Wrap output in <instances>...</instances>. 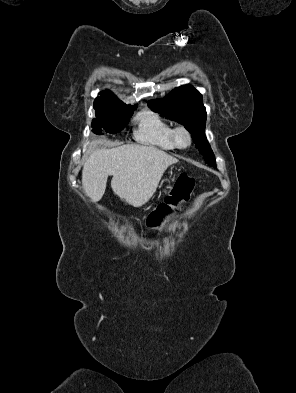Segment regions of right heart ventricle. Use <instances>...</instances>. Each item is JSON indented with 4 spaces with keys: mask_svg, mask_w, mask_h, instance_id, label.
<instances>
[{
    "mask_svg": "<svg viewBox=\"0 0 296 393\" xmlns=\"http://www.w3.org/2000/svg\"><path fill=\"white\" fill-rule=\"evenodd\" d=\"M137 121L135 138L138 141L164 150H173L176 147L172 140V124L159 114L143 111L137 116Z\"/></svg>",
    "mask_w": 296,
    "mask_h": 393,
    "instance_id": "obj_1",
    "label": "right heart ventricle"
}]
</instances>
